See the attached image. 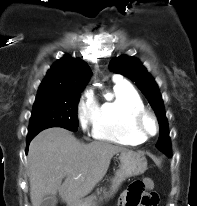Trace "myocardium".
<instances>
[{
  "instance_id": "obj_1",
  "label": "myocardium",
  "mask_w": 197,
  "mask_h": 206,
  "mask_svg": "<svg viewBox=\"0 0 197 206\" xmlns=\"http://www.w3.org/2000/svg\"><path fill=\"white\" fill-rule=\"evenodd\" d=\"M132 122L134 130L137 134L142 136L144 139H148L157 134L159 130V125L156 116L151 111L144 109L132 116ZM147 122L152 124V131L146 129Z\"/></svg>"
}]
</instances>
